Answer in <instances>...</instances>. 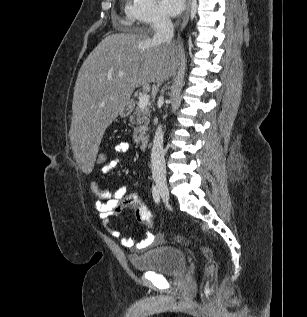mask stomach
<instances>
[{"mask_svg":"<svg viewBox=\"0 0 307 317\" xmlns=\"http://www.w3.org/2000/svg\"><path fill=\"white\" fill-rule=\"evenodd\" d=\"M132 111V103L130 100L125 101L119 108L118 115L121 117H127Z\"/></svg>","mask_w":307,"mask_h":317,"instance_id":"stomach-1","label":"stomach"}]
</instances>
